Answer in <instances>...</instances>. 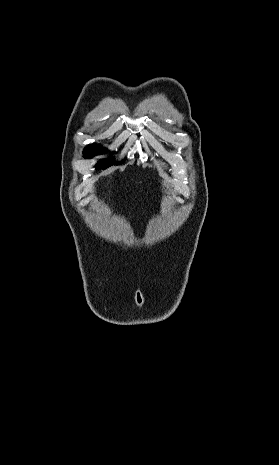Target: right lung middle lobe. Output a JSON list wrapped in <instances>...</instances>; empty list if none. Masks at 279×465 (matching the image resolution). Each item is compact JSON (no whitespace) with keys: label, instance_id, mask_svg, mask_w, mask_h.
Instances as JSON below:
<instances>
[{"label":"right lung middle lobe","instance_id":"dd1d6c3e","mask_svg":"<svg viewBox=\"0 0 279 465\" xmlns=\"http://www.w3.org/2000/svg\"><path fill=\"white\" fill-rule=\"evenodd\" d=\"M105 151L104 148H101L97 145H89L87 146L84 151H83V154H84V157L85 158H92L93 156L95 155H98V154H101ZM113 164H116L115 162L111 161V160H103L101 162H99V164L97 165V169H106L110 166H112Z\"/></svg>","mask_w":279,"mask_h":465}]
</instances>
